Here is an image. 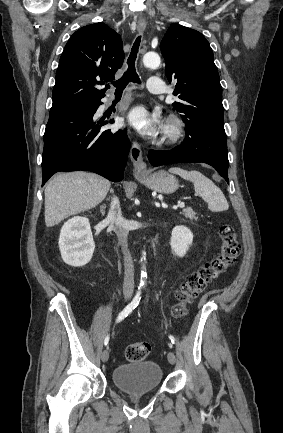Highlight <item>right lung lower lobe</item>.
I'll list each match as a JSON object with an SVG mask.
<instances>
[{"mask_svg": "<svg viewBox=\"0 0 283 433\" xmlns=\"http://www.w3.org/2000/svg\"><path fill=\"white\" fill-rule=\"evenodd\" d=\"M100 100L50 112L44 134L42 186L59 171H92L111 181L123 179L130 141L126 131L105 129L113 120H97Z\"/></svg>", "mask_w": 283, "mask_h": 433, "instance_id": "obj_1", "label": "right lung lower lobe"}]
</instances>
